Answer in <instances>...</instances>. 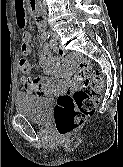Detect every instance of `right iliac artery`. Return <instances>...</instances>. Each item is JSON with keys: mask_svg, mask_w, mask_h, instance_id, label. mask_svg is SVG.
<instances>
[{"mask_svg": "<svg viewBox=\"0 0 123 167\" xmlns=\"http://www.w3.org/2000/svg\"><path fill=\"white\" fill-rule=\"evenodd\" d=\"M49 37H50L49 32H44V33L42 34V38H43L44 40L49 39Z\"/></svg>", "mask_w": 123, "mask_h": 167, "instance_id": "right-iliac-artery-1", "label": "right iliac artery"}]
</instances>
